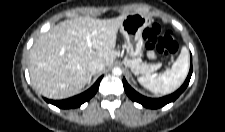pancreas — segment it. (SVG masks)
<instances>
[{
	"mask_svg": "<svg viewBox=\"0 0 225 132\" xmlns=\"http://www.w3.org/2000/svg\"><path fill=\"white\" fill-rule=\"evenodd\" d=\"M124 64L127 67L131 68V70L135 74H139V73L149 74L152 72L151 71L152 67L155 65V64H151V65L145 64L139 58H135L132 60L125 59Z\"/></svg>",
	"mask_w": 225,
	"mask_h": 132,
	"instance_id": "pancreas-1",
	"label": "pancreas"
}]
</instances>
